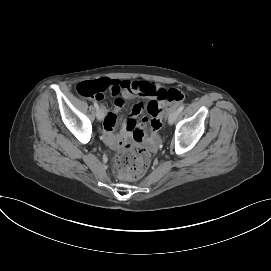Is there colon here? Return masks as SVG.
Masks as SVG:
<instances>
[{"label":"colon","mask_w":271,"mask_h":271,"mask_svg":"<svg viewBox=\"0 0 271 271\" xmlns=\"http://www.w3.org/2000/svg\"><path fill=\"white\" fill-rule=\"evenodd\" d=\"M107 90H110V83L106 79L83 81L77 85V92L87 98L100 99ZM159 97L176 105L185 100L186 94L179 89L170 88L161 91ZM151 127L153 130H158L161 127V122L153 120ZM149 163L150 153L145 148L128 145L116 155L114 169L120 177L136 180L144 175Z\"/></svg>","instance_id":"5ec220e1"}]
</instances>
